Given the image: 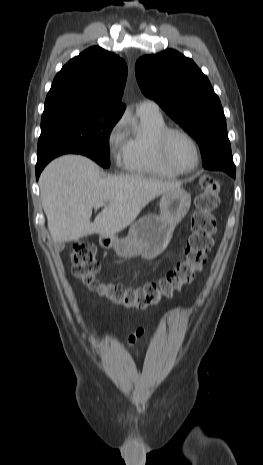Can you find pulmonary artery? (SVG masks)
<instances>
[{
	"instance_id": "pulmonary-artery-1",
	"label": "pulmonary artery",
	"mask_w": 263,
	"mask_h": 465,
	"mask_svg": "<svg viewBox=\"0 0 263 465\" xmlns=\"http://www.w3.org/2000/svg\"><path fill=\"white\" fill-rule=\"evenodd\" d=\"M137 111L160 114V107L155 101L147 99L140 102L137 107Z\"/></svg>"
}]
</instances>
